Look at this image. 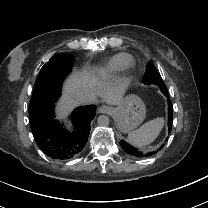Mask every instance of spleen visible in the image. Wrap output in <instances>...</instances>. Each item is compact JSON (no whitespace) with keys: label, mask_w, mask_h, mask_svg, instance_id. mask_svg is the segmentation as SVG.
<instances>
[{"label":"spleen","mask_w":208,"mask_h":208,"mask_svg":"<svg viewBox=\"0 0 208 208\" xmlns=\"http://www.w3.org/2000/svg\"><path fill=\"white\" fill-rule=\"evenodd\" d=\"M163 126V120L158 118L150 120L140 126L138 129L129 132L128 141L136 146H143L158 135Z\"/></svg>","instance_id":"1"}]
</instances>
